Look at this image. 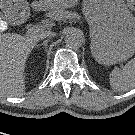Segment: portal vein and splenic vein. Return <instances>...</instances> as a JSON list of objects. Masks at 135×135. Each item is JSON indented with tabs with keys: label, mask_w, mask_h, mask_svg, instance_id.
Segmentation results:
<instances>
[{
	"label": "portal vein and splenic vein",
	"mask_w": 135,
	"mask_h": 135,
	"mask_svg": "<svg viewBox=\"0 0 135 135\" xmlns=\"http://www.w3.org/2000/svg\"><path fill=\"white\" fill-rule=\"evenodd\" d=\"M42 29H43V27L42 26H39V25L32 26V27H29L28 28L27 33L28 34L38 33L40 31H42Z\"/></svg>",
	"instance_id": "portal-vein-and-splenic-vein-1"
}]
</instances>
